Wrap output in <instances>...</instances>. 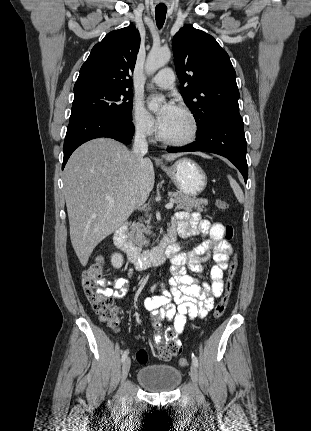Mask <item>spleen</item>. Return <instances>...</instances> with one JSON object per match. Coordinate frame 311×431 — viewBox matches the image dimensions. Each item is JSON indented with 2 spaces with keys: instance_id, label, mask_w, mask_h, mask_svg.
Segmentation results:
<instances>
[{
  "instance_id": "1",
  "label": "spleen",
  "mask_w": 311,
  "mask_h": 431,
  "mask_svg": "<svg viewBox=\"0 0 311 431\" xmlns=\"http://www.w3.org/2000/svg\"><path fill=\"white\" fill-rule=\"evenodd\" d=\"M227 178L238 202H240V204H244L245 198L239 184H237L236 180H233L232 176H227Z\"/></svg>"
}]
</instances>
